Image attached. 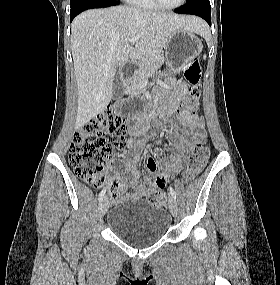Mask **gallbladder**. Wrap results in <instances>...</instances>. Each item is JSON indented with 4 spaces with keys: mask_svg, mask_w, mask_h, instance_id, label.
Wrapping results in <instances>:
<instances>
[{
    "mask_svg": "<svg viewBox=\"0 0 280 285\" xmlns=\"http://www.w3.org/2000/svg\"><path fill=\"white\" fill-rule=\"evenodd\" d=\"M112 94H113L114 99H118L123 96V84H122L119 73L115 75L113 85H112Z\"/></svg>",
    "mask_w": 280,
    "mask_h": 285,
    "instance_id": "obj_1",
    "label": "gallbladder"
}]
</instances>
